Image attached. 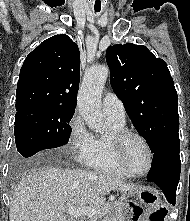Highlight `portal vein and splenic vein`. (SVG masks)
<instances>
[{
    "mask_svg": "<svg viewBox=\"0 0 190 221\" xmlns=\"http://www.w3.org/2000/svg\"><path fill=\"white\" fill-rule=\"evenodd\" d=\"M67 213L72 219L79 218L81 216H88L90 218H93L99 215L101 213V210L98 208H93L92 206H85L80 208L70 207L68 208Z\"/></svg>",
    "mask_w": 190,
    "mask_h": 221,
    "instance_id": "portal-vein-and-splenic-vein-1",
    "label": "portal vein and splenic vein"
}]
</instances>
